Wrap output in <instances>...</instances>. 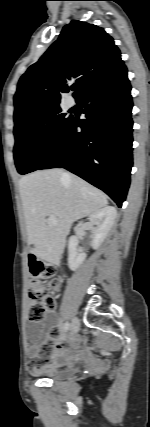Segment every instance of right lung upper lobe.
<instances>
[{
  "label": "right lung upper lobe",
  "mask_w": 150,
  "mask_h": 427,
  "mask_svg": "<svg viewBox=\"0 0 150 427\" xmlns=\"http://www.w3.org/2000/svg\"><path fill=\"white\" fill-rule=\"evenodd\" d=\"M124 63L120 51L101 27L73 20L57 41L20 78L14 96V121L59 106L71 85L76 101Z\"/></svg>",
  "instance_id": "right-lung-upper-lobe-1"
}]
</instances>
